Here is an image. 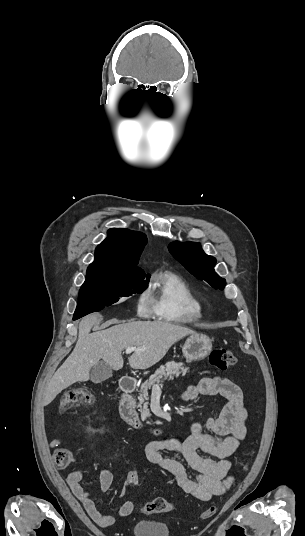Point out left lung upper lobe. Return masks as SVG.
I'll return each instance as SVG.
<instances>
[{
	"label": "left lung upper lobe",
	"instance_id": "1",
	"mask_svg": "<svg viewBox=\"0 0 305 536\" xmlns=\"http://www.w3.org/2000/svg\"><path fill=\"white\" fill-rule=\"evenodd\" d=\"M168 249L198 279L205 280L215 289L224 288L225 279L219 277L214 270L216 259L205 254L199 243L173 242Z\"/></svg>",
	"mask_w": 305,
	"mask_h": 536
}]
</instances>
